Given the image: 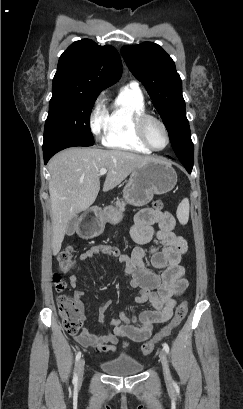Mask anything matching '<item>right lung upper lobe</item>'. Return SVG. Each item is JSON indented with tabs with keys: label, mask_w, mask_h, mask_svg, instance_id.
<instances>
[{
	"label": "right lung upper lobe",
	"mask_w": 243,
	"mask_h": 409,
	"mask_svg": "<svg viewBox=\"0 0 243 409\" xmlns=\"http://www.w3.org/2000/svg\"><path fill=\"white\" fill-rule=\"evenodd\" d=\"M121 74V58L113 46H99L90 39H82L60 56L53 86L98 96L117 82Z\"/></svg>",
	"instance_id": "right-lung-upper-lobe-1"
}]
</instances>
